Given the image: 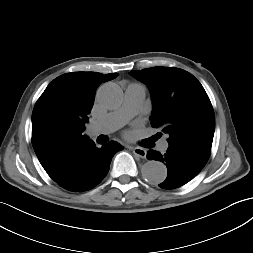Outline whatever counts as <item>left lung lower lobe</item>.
Masks as SVG:
<instances>
[{"mask_svg":"<svg viewBox=\"0 0 253 253\" xmlns=\"http://www.w3.org/2000/svg\"><path fill=\"white\" fill-rule=\"evenodd\" d=\"M210 153L183 144H169L167 152L161 154L149 150L147 158L164 162L168 175L164 182L159 184L162 189L178 188L194 178L205 166Z\"/></svg>","mask_w":253,"mask_h":253,"instance_id":"0a47b994","label":"left lung lower lobe"}]
</instances>
